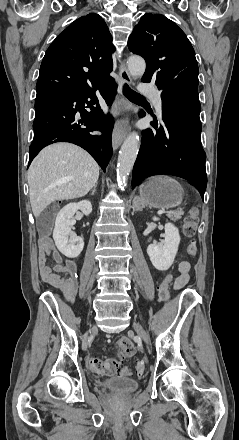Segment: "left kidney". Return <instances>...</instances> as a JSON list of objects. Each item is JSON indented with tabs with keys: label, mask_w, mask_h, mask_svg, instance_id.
Returning <instances> with one entry per match:
<instances>
[{
	"label": "left kidney",
	"mask_w": 239,
	"mask_h": 440,
	"mask_svg": "<svg viewBox=\"0 0 239 440\" xmlns=\"http://www.w3.org/2000/svg\"><path fill=\"white\" fill-rule=\"evenodd\" d=\"M157 222L158 218H153ZM165 244H149L147 254L156 270L165 272L172 266L180 244L178 228L173 224H165Z\"/></svg>",
	"instance_id": "1"
}]
</instances>
